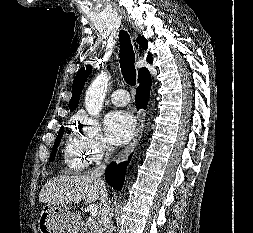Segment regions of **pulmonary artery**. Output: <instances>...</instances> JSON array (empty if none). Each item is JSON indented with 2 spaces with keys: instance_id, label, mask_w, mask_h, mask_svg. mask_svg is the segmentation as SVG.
Returning <instances> with one entry per match:
<instances>
[{
  "instance_id": "1",
  "label": "pulmonary artery",
  "mask_w": 253,
  "mask_h": 233,
  "mask_svg": "<svg viewBox=\"0 0 253 233\" xmlns=\"http://www.w3.org/2000/svg\"><path fill=\"white\" fill-rule=\"evenodd\" d=\"M130 96L128 92L124 89H118L112 93L110 96V101L115 106H125L129 103Z\"/></svg>"
}]
</instances>
